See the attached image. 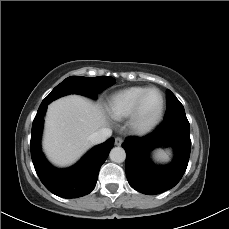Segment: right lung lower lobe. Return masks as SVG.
Here are the masks:
<instances>
[{"mask_svg": "<svg viewBox=\"0 0 229 229\" xmlns=\"http://www.w3.org/2000/svg\"><path fill=\"white\" fill-rule=\"evenodd\" d=\"M48 104L41 103L32 125L30 149L35 171L44 186L57 196L70 199L89 194L95 188L100 167L113 148L114 139L95 146L71 168H54L44 157L40 145Z\"/></svg>", "mask_w": 229, "mask_h": 229, "instance_id": "1", "label": "right lung lower lobe"}]
</instances>
